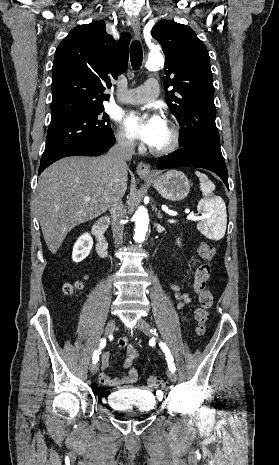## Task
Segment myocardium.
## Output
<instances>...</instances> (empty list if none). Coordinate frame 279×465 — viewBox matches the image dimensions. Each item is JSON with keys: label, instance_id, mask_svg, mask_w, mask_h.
Here are the masks:
<instances>
[{"label": "myocardium", "instance_id": "obj_1", "mask_svg": "<svg viewBox=\"0 0 279 465\" xmlns=\"http://www.w3.org/2000/svg\"><path fill=\"white\" fill-rule=\"evenodd\" d=\"M165 123L169 126L171 130V141L166 147L159 149L149 146V152L156 156L171 154L174 151H176L180 145L181 131L179 126L172 120H166Z\"/></svg>", "mask_w": 279, "mask_h": 465}]
</instances>
